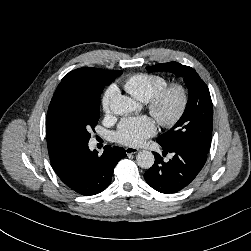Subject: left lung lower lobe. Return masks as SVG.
<instances>
[{
    "label": "left lung lower lobe",
    "mask_w": 251,
    "mask_h": 251,
    "mask_svg": "<svg viewBox=\"0 0 251 251\" xmlns=\"http://www.w3.org/2000/svg\"><path fill=\"white\" fill-rule=\"evenodd\" d=\"M162 148L163 155L170 152L173 158L164 162L159 154H155V163L144 178L149 186L161 193H176L196 178L205 165L207 153L191 145Z\"/></svg>",
    "instance_id": "0a47b994"
}]
</instances>
